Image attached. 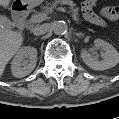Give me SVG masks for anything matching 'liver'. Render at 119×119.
Returning <instances> with one entry per match:
<instances>
[{
  "mask_svg": "<svg viewBox=\"0 0 119 119\" xmlns=\"http://www.w3.org/2000/svg\"><path fill=\"white\" fill-rule=\"evenodd\" d=\"M11 0H0V6L8 8ZM23 35L0 26V77L7 63L18 52L23 43Z\"/></svg>",
  "mask_w": 119,
  "mask_h": 119,
  "instance_id": "obj_1",
  "label": "liver"
}]
</instances>
